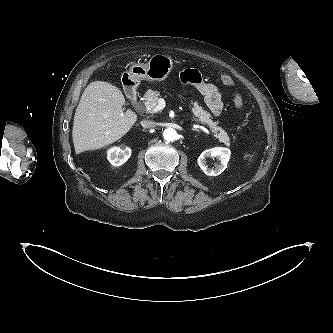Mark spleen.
<instances>
[{
    "instance_id": "obj_1",
    "label": "spleen",
    "mask_w": 333,
    "mask_h": 333,
    "mask_svg": "<svg viewBox=\"0 0 333 333\" xmlns=\"http://www.w3.org/2000/svg\"><path fill=\"white\" fill-rule=\"evenodd\" d=\"M246 157H248V158H249V160H251V156H250V155H246Z\"/></svg>"
}]
</instances>
